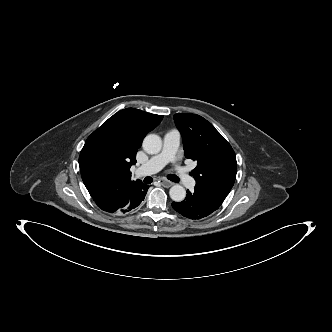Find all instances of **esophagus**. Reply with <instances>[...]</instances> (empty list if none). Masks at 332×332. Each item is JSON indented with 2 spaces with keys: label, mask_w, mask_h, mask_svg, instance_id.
<instances>
[{
  "label": "esophagus",
  "mask_w": 332,
  "mask_h": 332,
  "mask_svg": "<svg viewBox=\"0 0 332 332\" xmlns=\"http://www.w3.org/2000/svg\"><path fill=\"white\" fill-rule=\"evenodd\" d=\"M159 182L165 187H170L173 185V183L171 181H168L167 179H164V178H161L159 180Z\"/></svg>",
  "instance_id": "esophagus-1"
}]
</instances>
